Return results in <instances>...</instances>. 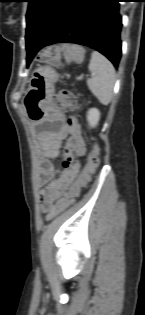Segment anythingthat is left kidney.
<instances>
[{"instance_id": "1", "label": "left kidney", "mask_w": 145, "mask_h": 315, "mask_svg": "<svg viewBox=\"0 0 145 315\" xmlns=\"http://www.w3.org/2000/svg\"><path fill=\"white\" fill-rule=\"evenodd\" d=\"M100 119V112L96 108L89 109L87 113V120L90 127H96Z\"/></svg>"}]
</instances>
